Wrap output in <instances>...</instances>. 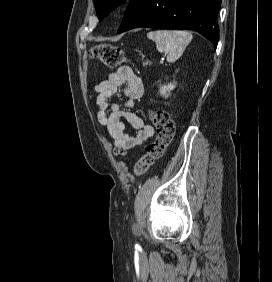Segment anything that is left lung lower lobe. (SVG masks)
I'll use <instances>...</instances> for the list:
<instances>
[{
  "label": "left lung lower lobe",
  "instance_id": "left-lung-lower-lobe-1",
  "mask_svg": "<svg viewBox=\"0 0 272 282\" xmlns=\"http://www.w3.org/2000/svg\"><path fill=\"white\" fill-rule=\"evenodd\" d=\"M221 0H131L118 33L139 27L193 29L216 48Z\"/></svg>",
  "mask_w": 272,
  "mask_h": 282
}]
</instances>
